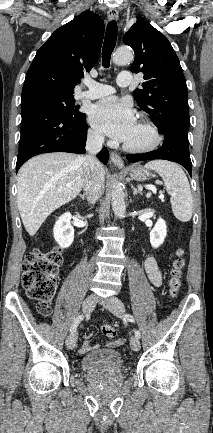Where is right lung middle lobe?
I'll use <instances>...</instances> for the list:
<instances>
[{"instance_id": "right-lung-middle-lobe-1", "label": "right lung middle lobe", "mask_w": 213, "mask_h": 433, "mask_svg": "<svg viewBox=\"0 0 213 433\" xmlns=\"http://www.w3.org/2000/svg\"><path fill=\"white\" fill-rule=\"evenodd\" d=\"M21 102H35L50 106L73 120H79L85 115L78 111L79 107L75 106V100L73 95H62L50 92H36L21 96Z\"/></svg>"}]
</instances>
